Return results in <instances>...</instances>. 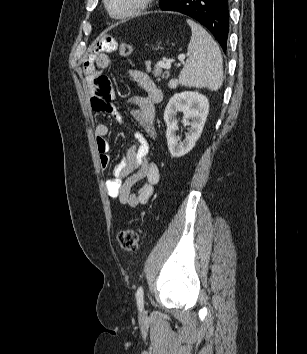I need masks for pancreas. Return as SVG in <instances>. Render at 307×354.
Returning <instances> with one entry per match:
<instances>
[{"mask_svg":"<svg viewBox=\"0 0 307 354\" xmlns=\"http://www.w3.org/2000/svg\"><path fill=\"white\" fill-rule=\"evenodd\" d=\"M161 62H157L155 65H154V70H153V75L154 77L160 81L161 80V77L162 78H168V75H169V71L168 70H164L163 67L160 65ZM146 71L148 73L151 72V67L150 66H147V69Z\"/></svg>","mask_w":307,"mask_h":354,"instance_id":"cf45deb5","label":"pancreas"}]
</instances>
